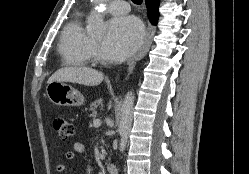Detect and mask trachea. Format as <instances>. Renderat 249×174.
Returning <instances> with one entry per match:
<instances>
[{"label":"trachea","instance_id":"3493384b","mask_svg":"<svg viewBox=\"0 0 249 174\" xmlns=\"http://www.w3.org/2000/svg\"><path fill=\"white\" fill-rule=\"evenodd\" d=\"M135 4H141L143 0H132Z\"/></svg>","mask_w":249,"mask_h":174}]
</instances>
